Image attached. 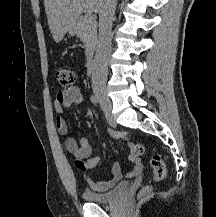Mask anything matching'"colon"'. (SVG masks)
Instances as JSON below:
<instances>
[{
	"instance_id": "1",
	"label": "colon",
	"mask_w": 216,
	"mask_h": 217,
	"mask_svg": "<svg viewBox=\"0 0 216 217\" xmlns=\"http://www.w3.org/2000/svg\"><path fill=\"white\" fill-rule=\"evenodd\" d=\"M55 77L57 82L61 87L64 89H71L74 87L75 84V74L72 70L67 68H57L55 71ZM110 135L120 141H126L130 148L129 157L133 160H139L145 154V147L143 144L139 142H134L128 140L126 135L122 132L109 130ZM75 164L78 169L81 171L86 170V165L82 160L77 159ZM150 166L153 170L154 180L155 181H162L165 179L167 175V169L165 167L164 161L159 154H154L150 159ZM152 191L150 186L143 188L139 194L140 198L147 197Z\"/></svg>"
}]
</instances>
